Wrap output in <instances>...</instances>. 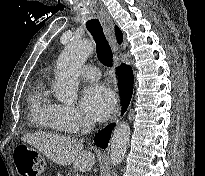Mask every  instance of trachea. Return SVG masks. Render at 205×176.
Returning <instances> with one entry per match:
<instances>
[{
	"mask_svg": "<svg viewBox=\"0 0 205 176\" xmlns=\"http://www.w3.org/2000/svg\"><path fill=\"white\" fill-rule=\"evenodd\" d=\"M86 28L96 43L98 59L103 65L110 67L112 65L113 54L105 38L101 23L98 19L93 18L86 22Z\"/></svg>",
	"mask_w": 205,
	"mask_h": 176,
	"instance_id": "1",
	"label": "trachea"
}]
</instances>
